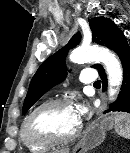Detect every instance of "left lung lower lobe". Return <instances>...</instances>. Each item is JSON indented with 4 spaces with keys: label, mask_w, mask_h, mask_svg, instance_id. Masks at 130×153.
<instances>
[{
    "label": "left lung lower lobe",
    "mask_w": 130,
    "mask_h": 153,
    "mask_svg": "<svg viewBox=\"0 0 130 153\" xmlns=\"http://www.w3.org/2000/svg\"><path fill=\"white\" fill-rule=\"evenodd\" d=\"M119 56L123 65V82L117 100L110 105L108 111H123L130 113V46L124 34L120 31L111 37L106 45ZM102 79L103 90L107 89V76L104 68L98 69Z\"/></svg>",
    "instance_id": "left-lung-lower-lobe-1"
}]
</instances>
